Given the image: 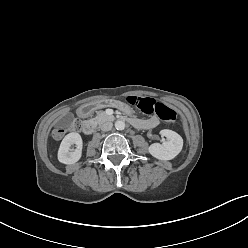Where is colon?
Masks as SVG:
<instances>
[{"label":"colon","instance_id":"obj_1","mask_svg":"<svg viewBox=\"0 0 248 248\" xmlns=\"http://www.w3.org/2000/svg\"><path fill=\"white\" fill-rule=\"evenodd\" d=\"M129 102L136 106L140 111H142L145 114H156L161 120L167 122V123H174L177 119L176 112L166 106L165 104L158 102L151 98H145V97H132L129 99ZM79 124L75 123L72 126V129H78ZM66 129H56L53 132V136L56 139L62 138L66 134Z\"/></svg>","mask_w":248,"mask_h":248}]
</instances>
